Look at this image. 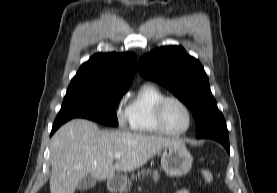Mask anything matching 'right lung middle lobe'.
I'll list each match as a JSON object with an SVG mask.
<instances>
[{
  "label": "right lung middle lobe",
  "mask_w": 277,
  "mask_h": 193,
  "mask_svg": "<svg viewBox=\"0 0 277 193\" xmlns=\"http://www.w3.org/2000/svg\"><path fill=\"white\" fill-rule=\"evenodd\" d=\"M125 91L85 88L68 89L56 121L86 118L102 124H117L116 107Z\"/></svg>",
  "instance_id": "right-lung-middle-lobe-1"
}]
</instances>
